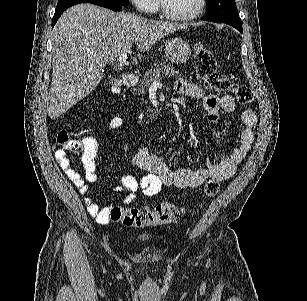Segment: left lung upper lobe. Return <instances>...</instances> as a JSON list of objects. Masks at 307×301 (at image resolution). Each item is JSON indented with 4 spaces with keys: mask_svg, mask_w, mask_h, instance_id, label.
Instances as JSON below:
<instances>
[{
    "mask_svg": "<svg viewBox=\"0 0 307 301\" xmlns=\"http://www.w3.org/2000/svg\"><path fill=\"white\" fill-rule=\"evenodd\" d=\"M207 16L204 20L242 26L234 0H206Z\"/></svg>",
    "mask_w": 307,
    "mask_h": 301,
    "instance_id": "left-lung-upper-lobe-1",
    "label": "left lung upper lobe"
}]
</instances>
